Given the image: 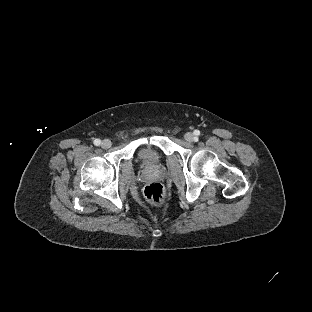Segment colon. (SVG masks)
<instances>
[{
	"label": "colon",
	"mask_w": 312,
	"mask_h": 312,
	"mask_svg": "<svg viewBox=\"0 0 312 312\" xmlns=\"http://www.w3.org/2000/svg\"><path fill=\"white\" fill-rule=\"evenodd\" d=\"M144 196L152 203L162 204L166 198V191L162 185L151 183L144 188Z\"/></svg>",
	"instance_id": "colon-1"
}]
</instances>
